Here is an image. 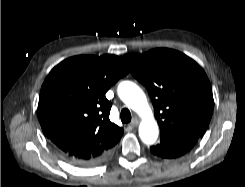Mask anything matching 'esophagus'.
Wrapping results in <instances>:
<instances>
[{
    "mask_svg": "<svg viewBox=\"0 0 245 187\" xmlns=\"http://www.w3.org/2000/svg\"><path fill=\"white\" fill-rule=\"evenodd\" d=\"M138 124H139V120H138L137 118H134V119L131 121L130 126H131V127H136V126H138Z\"/></svg>",
    "mask_w": 245,
    "mask_h": 187,
    "instance_id": "esophagus-1",
    "label": "esophagus"
}]
</instances>
